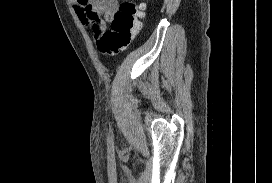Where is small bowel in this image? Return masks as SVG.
<instances>
[{
  "label": "small bowel",
  "mask_w": 272,
  "mask_h": 183,
  "mask_svg": "<svg viewBox=\"0 0 272 183\" xmlns=\"http://www.w3.org/2000/svg\"><path fill=\"white\" fill-rule=\"evenodd\" d=\"M74 7L83 22L95 35L101 34L118 9L117 0H75Z\"/></svg>",
  "instance_id": "c3829d8e"
}]
</instances>
